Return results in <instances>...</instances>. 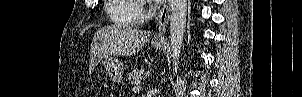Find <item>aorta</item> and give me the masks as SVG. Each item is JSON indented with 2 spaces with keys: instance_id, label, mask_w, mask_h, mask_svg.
<instances>
[{
  "instance_id": "aorta-1",
  "label": "aorta",
  "mask_w": 302,
  "mask_h": 97,
  "mask_svg": "<svg viewBox=\"0 0 302 97\" xmlns=\"http://www.w3.org/2000/svg\"><path fill=\"white\" fill-rule=\"evenodd\" d=\"M187 0H171L170 44L173 67L176 70L184 39L187 15Z\"/></svg>"
}]
</instances>
